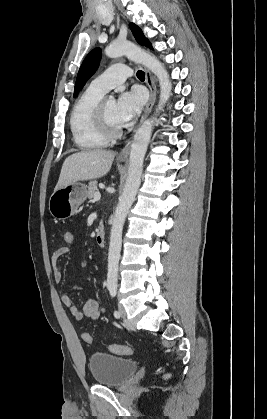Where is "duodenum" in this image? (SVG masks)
<instances>
[{
	"instance_id": "410a0bca",
	"label": "duodenum",
	"mask_w": 267,
	"mask_h": 419,
	"mask_svg": "<svg viewBox=\"0 0 267 419\" xmlns=\"http://www.w3.org/2000/svg\"><path fill=\"white\" fill-rule=\"evenodd\" d=\"M96 243L98 246H104L105 245V241H106V235L105 232L103 230H98L96 233Z\"/></svg>"
}]
</instances>
